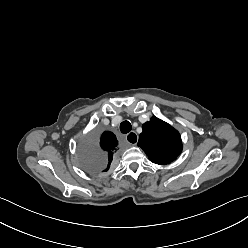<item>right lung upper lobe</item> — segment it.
I'll list each match as a JSON object with an SVG mask.
<instances>
[{"label":"right lung upper lobe","mask_w":248,"mask_h":248,"mask_svg":"<svg viewBox=\"0 0 248 248\" xmlns=\"http://www.w3.org/2000/svg\"><path fill=\"white\" fill-rule=\"evenodd\" d=\"M117 145L118 141L113 133L106 131L101 135L100 146L106 152L108 159L105 171H108L110 168L111 162L113 160V154L116 150Z\"/></svg>","instance_id":"obj_1"}]
</instances>
